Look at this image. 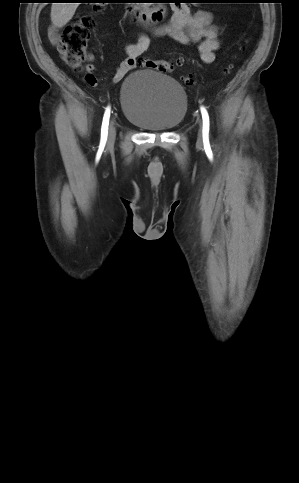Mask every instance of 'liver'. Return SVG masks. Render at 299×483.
<instances>
[{
    "instance_id": "liver-1",
    "label": "liver",
    "mask_w": 299,
    "mask_h": 483,
    "mask_svg": "<svg viewBox=\"0 0 299 483\" xmlns=\"http://www.w3.org/2000/svg\"><path fill=\"white\" fill-rule=\"evenodd\" d=\"M78 5L79 3H52V23L58 28L65 26L72 19Z\"/></svg>"
}]
</instances>
